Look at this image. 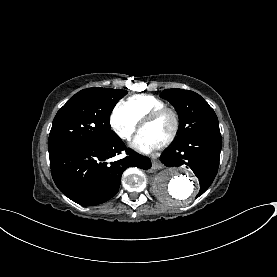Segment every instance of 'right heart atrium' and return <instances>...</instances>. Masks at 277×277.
<instances>
[{
	"mask_svg": "<svg viewBox=\"0 0 277 277\" xmlns=\"http://www.w3.org/2000/svg\"><path fill=\"white\" fill-rule=\"evenodd\" d=\"M111 127L122 140H129L138 126V121L122 106L115 108L110 118Z\"/></svg>",
	"mask_w": 277,
	"mask_h": 277,
	"instance_id": "obj_1",
	"label": "right heart atrium"
}]
</instances>
